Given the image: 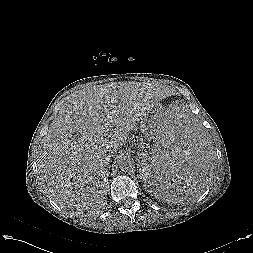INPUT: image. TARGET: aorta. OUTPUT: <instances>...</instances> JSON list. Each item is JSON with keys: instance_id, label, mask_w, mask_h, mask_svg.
<instances>
[{"instance_id": "762f6f07", "label": "aorta", "mask_w": 253, "mask_h": 253, "mask_svg": "<svg viewBox=\"0 0 253 253\" xmlns=\"http://www.w3.org/2000/svg\"><path fill=\"white\" fill-rule=\"evenodd\" d=\"M117 164L121 171L129 172L135 168L133 157L129 155H122L117 159Z\"/></svg>"}]
</instances>
